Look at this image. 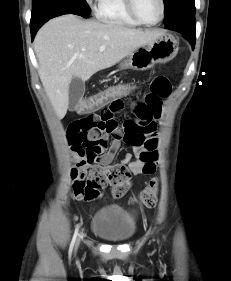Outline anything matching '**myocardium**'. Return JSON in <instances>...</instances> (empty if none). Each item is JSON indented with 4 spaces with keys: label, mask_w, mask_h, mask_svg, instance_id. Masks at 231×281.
<instances>
[{
    "label": "myocardium",
    "mask_w": 231,
    "mask_h": 281,
    "mask_svg": "<svg viewBox=\"0 0 231 281\" xmlns=\"http://www.w3.org/2000/svg\"><path fill=\"white\" fill-rule=\"evenodd\" d=\"M126 8L129 12V14L135 19L139 24L145 25V26H156L159 25L165 18V12H166V5L164 0H160L161 4V15L160 18L155 21V22H147L144 19L141 18L139 15L136 5H135V0H124Z\"/></svg>",
    "instance_id": "obj_1"
}]
</instances>
